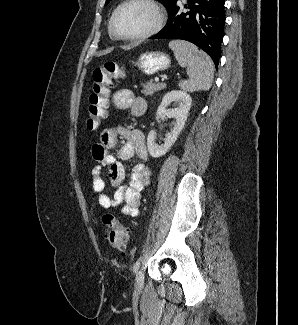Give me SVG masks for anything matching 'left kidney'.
<instances>
[{"label":"left kidney","instance_id":"left-kidney-1","mask_svg":"<svg viewBox=\"0 0 298 325\" xmlns=\"http://www.w3.org/2000/svg\"><path fill=\"white\" fill-rule=\"evenodd\" d=\"M173 102L175 108H167ZM192 98L188 92L184 90H169L164 94L155 114L156 120L166 116V118H174L173 128L170 132H166L164 138V144H157L155 130H150L147 136V146L151 156L158 158L168 152L170 146L177 140L178 134H180L184 124L187 120L189 110L191 108Z\"/></svg>","mask_w":298,"mask_h":325}]
</instances>
